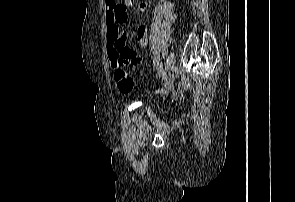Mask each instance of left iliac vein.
Masks as SVG:
<instances>
[{"instance_id": "obj_1", "label": "left iliac vein", "mask_w": 295, "mask_h": 202, "mask_svg": "<svg viewBox=\"0 0 295 202\" xmlns=\"http://www.w3.org/2000/svg\"><path fill=\"white\" fill-rule=\"evenodd\" d=\"M174 65H175V54L174 52H170L163 69V74L170 71L174 67Z\"/></svg>"}]
</instances>
